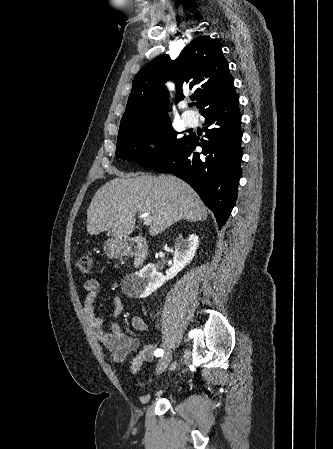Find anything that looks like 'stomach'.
Listing matches in <instances>:
<instances>
[{"mask_svg": "<svg viewBox=\"0 0 333 449\" xmlns=\"http://www.w3.org/2000/svg\"><path fill=\"white\" fill-rule=\"evenodd\" d=\"M104 250L108 257L117 258L125 254L123 242L120 239H109L104 244Z\"/></svg>", "mask_w": 333, "mask_h": 449, "instance_id": "0dacf381", "label": "stomach"}]
</instances>
